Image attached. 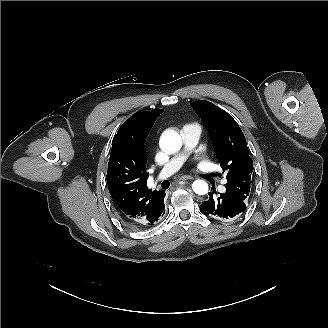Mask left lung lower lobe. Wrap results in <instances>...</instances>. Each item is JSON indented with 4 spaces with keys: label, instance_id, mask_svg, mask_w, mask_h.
Segmentation results:
<instances>
[{
    "label": "left lung lower lobe",
    "instance_id": "1",
    "mask_svg": "<svg viewBox=\"0 0 328 328\" xmlns=\"http://www.w3.org/2000/svg\"><path fill=\"white\" fill-rule=\"evenodd\" d=\"M214 192H209V199L200 205V211L203 214L227 221L241 214L246 209V204L243 200L228 193L220 194L216 198L213 196Z\"/></svg>",
    "mask_w": 328,
    "mask_h": 328
}]
</instances>
